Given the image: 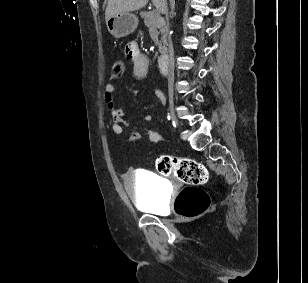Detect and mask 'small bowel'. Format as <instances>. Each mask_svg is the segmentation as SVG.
<instances>
[{"mask_svg": "<svg viewBox=\"0 0 308 283\" xmlns=\"http://www.w3.org/2000/svg\"><path fill=\"white\" fill-rule=\"evenodd\" d=\"M124 54L127 59L133 63V76L136 79H144L148 73V62L144 54L140 51L137 42H129L124 49ZM159 98L165 103L163 95H159ZM104 99L107 104L108 110L111 115V129L112 131L120 135L124 131V127L129 125L127 120L126 112L121 109L115 99V86L113 83H107L104 88ZM145 120H149V116H145ZM146 134L152 142L158 143L163 137L162 134L157 132L151 127L146 129ZM132 139H140L141 134L139 132H134L132 134Z\"/></svg>", "mask_w": 308, "mask_h": 283, "instance_id": "c3829d8e", "label": "small bowel"}]
</instances>
